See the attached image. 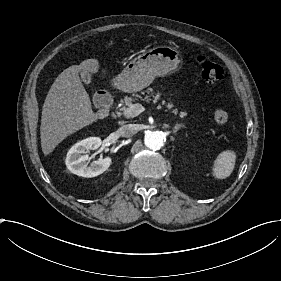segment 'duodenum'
I'll use <instances>...</instances> for the list:
<instances>
[{"label": "duodenum", "instance_id": "1", "mask_svg": "<svg viewBox=\"0 0 281 281\" xmlns=\"http://www.w3.org/2000/svg\"><path fill=\"white\" fill-rule=\"evenodd\" d=\"M99 102L103 108V110H107L109 105H110V101H109V98L106 97V96H102L99 98Z\"/></svg>", "mask_w": 281, "mask_h": 281}]
</instances>
